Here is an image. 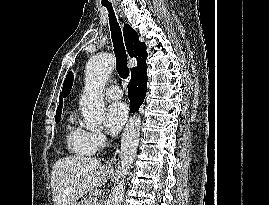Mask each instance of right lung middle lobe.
I'll return each instance as SVG.
<instances>
[{
	"mask_svg": "<svg viewBox=\"0 0 269 205\" xmlns=\"http://www.w3.org/2000/svg\"><path fill=\"white\" fill-rule=\"evenodd\" d=\"M61 116H56V123H59Z\"/></svg>",
	"mask_w": 269,
	"mask_h": 205,
	"instance_id": "obj_1",
	"label": "right lung middle lobe"
}]
</instances>
